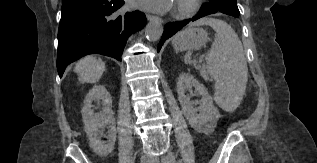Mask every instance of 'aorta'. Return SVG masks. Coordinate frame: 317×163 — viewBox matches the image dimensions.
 <instances>
[{
	"label": "aorta",
	"mask_w": 317,
	"mask_h": 163,
	"mask_svg": "<svg viewBox=\"0 0 317 163\" xmlns=\"http://www.w3.org/2000/svg\"><path fill=\"white\" fill-rule=\"evenodd\" d=\"M163 24L160 19L150 21L145 29V35L150 41H157L163 34Z\"/></svg>",
	"instance_id": "obj_1"
}]
</instances>
